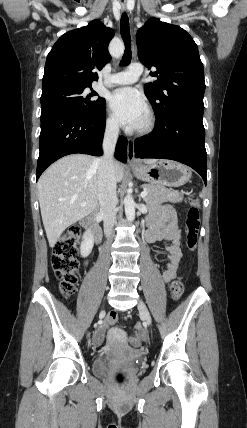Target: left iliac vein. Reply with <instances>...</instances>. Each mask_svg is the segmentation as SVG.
<instances>
[{
  "mask_svg": "<svg viewBox=\"0 0 247 428\" xmlns=\"http://www.w3.org/2000/svg\"><path fill=\"white\" fill-rule=\"evenodd\" d=\"M138 309H139V312H140V314L143 316V318H144V320L146 321V323L148 324V325H150L151 324V316H150V313H149V311H148V309H147V307H146V305L144 304V302L143 301H139V303H138Z\"/></svg>",
  "mask_w": 247,
  "mask_h": 428,
  "instance_id": "4c4485c4",
  "label": "left iliac vein"
}]
</instances>
